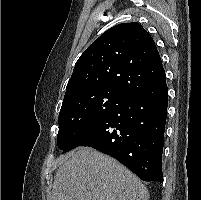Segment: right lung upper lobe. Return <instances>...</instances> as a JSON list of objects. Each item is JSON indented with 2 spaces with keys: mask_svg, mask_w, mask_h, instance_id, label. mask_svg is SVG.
Returning a JSON list of instances; mask_svg holds the SVG:
<instances>
[{
  "mask_svg": "<svg viewBox=\"0 0 201 200\" xmlns=\"http://www.w3.org/2000/svg\"><path fill=\"white\" fill-rule=\"evenodd\" d=\"M164 77L165 70L150 34L139 23H122L105 31L80 56L64 100L96 90L130 96Z\"/></svg>",
  "mask_w": 201,
  "mask_h": 200,
  "instance_id": "1",
  "label": "right lung upper lobe"
}]
</instances>
